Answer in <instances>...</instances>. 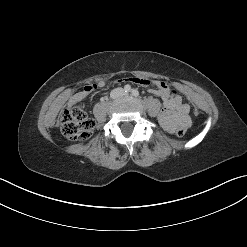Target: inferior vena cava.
<instances>
[{
    "mask_svg": "<svg viewBox=\"0 0 247 247\" xmlns=\"http://www.w3.org/2000/svg\"><path fill=\"white\" fill-rule=\"evenodd\" d=\"M123 94H124V90L122 88H116V89L111 91L110 96L112 98H117V97L122 96Z\"/></svg>",
    "mask_w": 247,
    "mask_h": 247,
    "instance_id": "1",
    "label": "inferior vena cava"
}]
</instances>
